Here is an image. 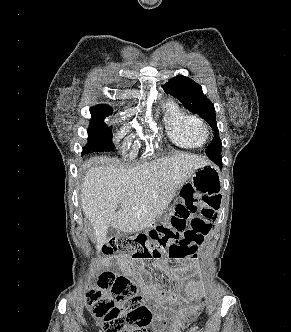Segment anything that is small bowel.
<instances>
[{
	"label": "small bowel",
	"instance_id": "obj_1",
	"mask_svg": "<svg viewBox=\"0 0 291 332\" xmlns=\"http://www.w3.org/2000/svg\"><path fill=\"white\" fill-rule=\"evenodd\" d=\"M189 189H192V187L186 185L182 192ZM104 263L108 265V261ZM118 263L126 275L134 278L140 284L142 298L154 312L153 332L167 331L166 320L172 309L178 307L182 301L194 299L198 295L196 286L191 281L186 282L177 292L164 290L154 281L152 272L147 270L140 260H132L128 256H121L118 258ZM154 266L167 275L173 274V271L163 261H156Z\"/></svg>",
	"mask_w": 291,
	"mask_h": 332
}]
</instances>
